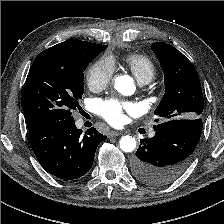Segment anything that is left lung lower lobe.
I'll return each instance as SVG.
<instances>
[{
	"instance_id": "obj_1",
	"label": "left lung lower lobe",
	"mask_w": 224,
	"mask_h": 224,
	"mask_svg": "<svg viewBox=\"0 0 224 224\" xmlns=\"http://www.w3.org/2000/svg\"><path fill=\"white\" fill-rule=\"evenodd\" d=\"M202 127L201 118L174 119L155 125V136L141 140L132 160L134 176L152 186L173 182L188 167Z\"/></svg>"
}]
</instances>
